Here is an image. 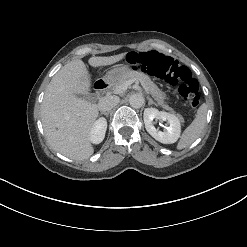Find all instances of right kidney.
I'll return each mask as SVG.
<instances>
[{
	"instance_id": "ca27d5eb",
	"label": "right kidney",
	"mask_w": 247,
	"mask_h": 247,
	"mask_svg": "<svg viewBox=\"0 0 247 247\" xmlns=\"http://www.w3.org/2000/svg\"><path fill=\"white\" fill-rule=\"evenodd\" d=\"M107 129V122L105 119L100 118L91 127L90 141L94 144H99L103 141Z\"/></svg>"
}]
</instances>
